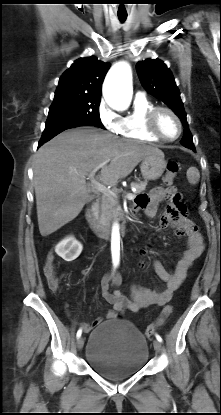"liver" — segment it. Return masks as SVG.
I'll use <instances>...</instances> for the list:
<instances>
[{
  "mask_svg": "<svg viewBox=\"0 0 221 415\" xmlns=\"http://www.w3.org/2000/svg\"><path fill=\"white\" fill-rule=\"evenodd\" d=\"M157 147L120 139L94 127L65 131L34 156V189L40 234L45 237L72 221L89 202L85 176L105 161L99 180L113 184L127 177Z\"/></svg>",
  "mask_w": 221,
  "mask_h": 415,
  "instance_id": "1",
  "label": "liver"
}]
</instances>
